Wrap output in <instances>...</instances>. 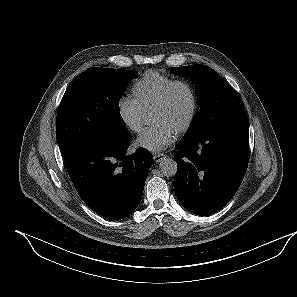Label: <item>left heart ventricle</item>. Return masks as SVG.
Instances as JSON below:
<instances>
[{
  "mask_svg": "<svg viewBox=\"0 0 297 297\" xmlns=\"http://www.w3.org/2000/svg\"><path fill=\"white\" fill-rule=\"evenodd\" d=\"M190 97L186 88L177 87L164 108L152 111L150 114L151 123H164L175 132L185 122L190 112Z\"/></svg>",
  "mask_w": 297,
  "mask_h": 297,
  "instance_id": "obj_1",
  "label": "left heart ventricle"
}]
</instances>
